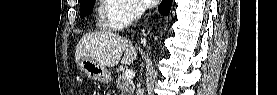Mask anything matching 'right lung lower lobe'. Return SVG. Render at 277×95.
Segmentation results:
<instances>
[{
	"instance_id": "1",
	"label": "right lung lower lobe",
	"mask_w": 277,
	"mask_h": 95,
	"mask_svg": "<svg viewBox=\"0 0 277 95\" xmlns=\"http://www.w3.org/2000/svg\"><path fill=\"white\" fill-rule=\"evenodd\" d=\"M172 0H163L159 6V11L163 15H168L171 9Z\"/></svg>"
}]
</instances>
